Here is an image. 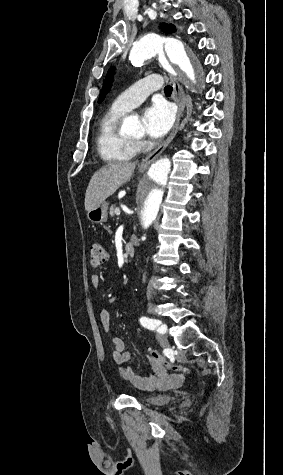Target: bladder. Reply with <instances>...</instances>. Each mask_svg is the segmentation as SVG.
I'll return each mask as SVG.
<instances>
[{"label":"bladder","instance_id":"1","mask_svg":"<svg viewBox=\"0 0 283 475\" xmlns=\"http://www.w3.org/2000/svg\"><path fill=\"white\" fill-rule=\"evenodd\" d=\"M173 394L141 395L139 400L145 406H163L173 400Z\"/></svg>","mask_w":283,"mask_h":475}]
</instances>
